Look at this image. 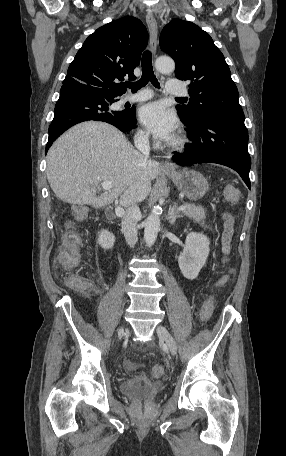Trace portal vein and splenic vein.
Wrapping results in <instances>:
<instances>
[{"label": "portal vein and splenic vein", "instance_id": "obj_1", "mask_svg": "<svg viewBox=\"0 0 286 456\" xmlns=\"http://www.w3.org/2000/svg\"><path fill=\"white\" fill-rule=\"evenodd\" d=\"M101 186H102V188H103L105 191H109V190L112 189V183L109 182V181H104V182H102V183H101ZM185 209H186V206L182 205V206H180V207L178 208V211H183V210H185ZM115 214H116L117 216H122V215H124V209H123L122 207H120V206L116 207V208H115Z\"/></svg>", "mask_w": 286, "mask_h": 456}]
</instances>
